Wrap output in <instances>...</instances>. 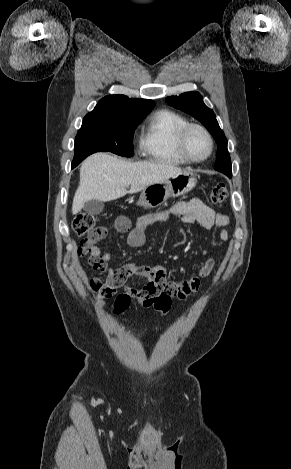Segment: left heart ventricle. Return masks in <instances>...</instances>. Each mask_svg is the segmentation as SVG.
I'll list each match as a JSON object with an SVG mask.
<instances>
[{"mask_svg":"<svg viewBox=\"0 0 291 469\" xmlns=\"http://www.w3.org/2000/svg\"><path fill=\"white\" fill-rule=\"evenodd\" d=\"M209 141L206 135L199 129L190 131L187 137V150L195 158L205 156L209 151Z\"/></svg>","mask_w":291,"mask_h":469,"instance_id":"b2bd125f","label":"left heart ventricle"}]
</instances>
